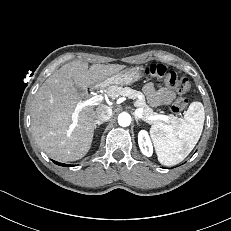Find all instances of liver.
<instances>
[{
	"mask_svg": "<svg viewBox=\"0 0 231 231\" xmlns=\"http://www.w3.org/2000/svg\"><path fill=\"white\" fill-rule=\"evenodd\" d=\"M123 68L125 65L93 64L88 69V63L72 61L47 78L36 92L30 111L34 139L46 154L67 162L79 160L88 153L96 110L93 105L82 107L77 124L71 128L73 113L83 103L75 85L83 89L99 85Z\"/></svg>",
	"mask_w": 231,
	"mask_h": 231,
	"instance_id": "1",
	"label": "liver"
}]
</instances>
